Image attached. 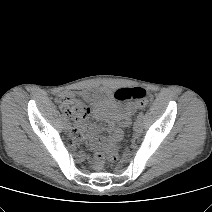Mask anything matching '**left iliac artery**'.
Masks as SVG:
<instances>
[{"label":"left iliac artery","instance_id":"left-iliac-artery-1","mask_svg":"<svg viewBox=\"0 0 212 212\" xmlns=\"http://www.w3.org/2000/svg\"><path fill=\"white\" fill-rule=\"evenodd\" d=\"M144 118V113L140 112L137 116V119L142 120Z\"/></svg>","mask_w":212,"mask_h":212}]
</instances>
